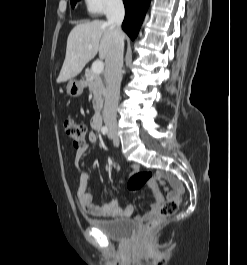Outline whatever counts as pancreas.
Masks as SVG:
<instances>
[{"label":"pancreas","mask_w":247,"mask_h":265,"mask_svg":"<svg viewBox=\"0 0 247 265\" xmlns=\"http://www.w3.org/2000/svg\"><path fill=\"white\" fill-rule=\"evenodd\" d=\"M87 85L89 91L93 94V108L95 113H99L103 107L104 97L106 95V88L103 78L99 74L92 71L87 77Z\"/></svg>","instance_id":"obj_1"}]
</instances>
